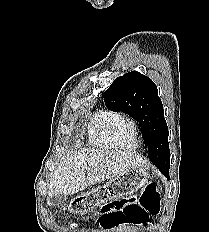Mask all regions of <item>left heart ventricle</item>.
Wrapping results in <instances>:
<instances>
[{
    "label": "left heart ventricle",
    "mask_w": 209,
    "mask_h": 232,
    "mask_svg": "<svg viewBox=\"0 0 209 232\" xmlns=\"http://www.w3.org/2000/svg\"><path fill=\"white\" fill-rule=\"evenodd\" d=\"M114 133L119 142L125 147L133 146V128L130 123L123 121L114 126Z\"/></svg>",
    "instance_id": "1"
}]
</instances>
